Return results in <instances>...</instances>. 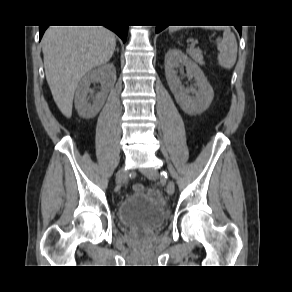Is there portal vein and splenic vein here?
Returning a JSON list of instances; mask_svg holds the SVG:
<instances>
[{
    "mask_svg": "<svg viewBox=\"0 0 292 292\" xmlns=\"http://www.w3.org/2000/svg\"><path fill=\"white\" fill-rule=\"evenodd\" d=\"M189 50H194V47H191ZM199 52V51H198Z\"/></svg>",
    "mask_w": 292,
    "mask_h": 292,
    "instance_id": "obj_1",
    "label": "portal vein and splenic vein"
}]
</instances>
